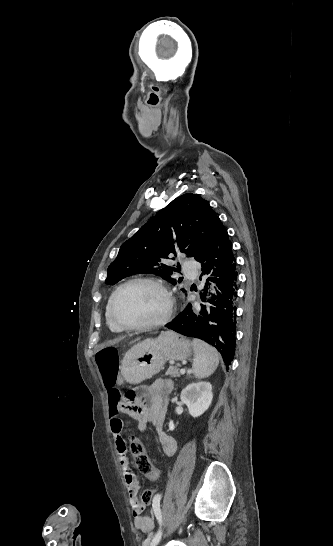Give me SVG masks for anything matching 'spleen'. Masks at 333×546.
<instances>
[{
	"mask_svg": "<svg viewBox=\"0 0 333 546\" xmlns=\"http://www.w3.org/2000/svg\"><path fill=\"white\" fill-rule=\"evenodd\" d=\"M195 358L192 364V370L197 378H207L211 376L218 364L219 354L216 349L200 339L192 341Z\"/></svg>",
	"mask_w": 333,
	"mask_h": 546,
	"instance_id": "1",
	"label": "spleen"
}]
</instances>
